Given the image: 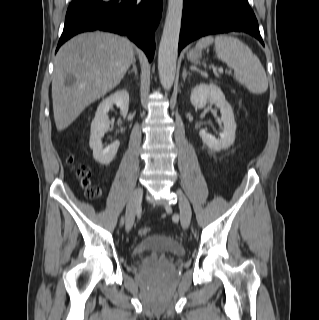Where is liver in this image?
I'll return each instance as SVG.
<instances>
[{
  "mask_svg": "<svg viewBox=\"0 0 319 320\" xmlns=\"http://www.w3.org/2000/svg\"><path fill=\"white\" fill-rule=\"evenodd\" d=\"M134 59L126 37L107 32L79 34L67 41L54 61L52 101L56 128L66 129L91 103L114 89ZM72 75L73 85L65 78Z\"/></svg>",
  "mask_w": 319,
  "mask_h": 320,
  "instance_id": "obj_1",
  "label": "liver"
}]
</instances>
